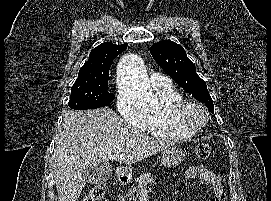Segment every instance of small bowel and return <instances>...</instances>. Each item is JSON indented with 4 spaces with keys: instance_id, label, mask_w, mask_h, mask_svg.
<instances>
[{
    "instance_id": "c3829d8e",
    "label": "small bowel",
    "mask_w": 271,
    "mask_h": 201,
    "mask_svg": "<svg viewBox=\"0 0 271 201\" xmlns=\"http://www.w3.org/2000/svg\"><path fill=\"white\" fill-rule=\"evenodd\" d=\"M185 175L188 179L198 178L203 184L212 188L214 195L209 201H225V191L221 184L220 177L214 171L203 165H196L190 167Z\"/></svg>"
}]
</instances>
